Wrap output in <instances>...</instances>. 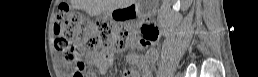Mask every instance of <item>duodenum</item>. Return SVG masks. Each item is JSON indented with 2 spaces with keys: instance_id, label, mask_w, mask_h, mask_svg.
Wrapping results in <instances>:
<instances>
[{
  "instance_id": "1",
  "label": "duodenum",
  "mask_w": 258,
  "mask_h": 77,
  "mask_svg": "<svg viewBox=\"0 0 258 77\" xmlns=\"http://www.w3.org/2000/svg\"><path fill=\"white\" fill-rule=\"evenodd\" d=\"M132 9L134 11V7H132ZM123 11L125 12V15H128L130 13V9L129 8L128 9H124ZM152 27H154V26H152ZM154 28H155V35H156V27H154Z\"/></svg>"
}]
</instances>
